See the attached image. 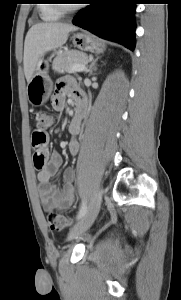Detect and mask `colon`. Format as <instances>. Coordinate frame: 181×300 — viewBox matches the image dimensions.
<instances>
[{"label": "colon", "instance_id": "colon-1", "mask_svg": "<svg viewBox=\"0 0 181 300\" xmlns=\"http://www.w3.org/2000/svg\"><path fill=\"white\" fill-rule=\"evenodd\" d=\"M33 119L35 128L32 133V148L36 167L40 168L45 161L44 148L48 142V136L44 130L53 125L55 116L48 111H37L34 113ZM47 222L50 229L54 231L63 230L71 224L68 217L54 211L47 214Z\"/></svg>", "mask_w": 181, "mask_h": 300}]
</instances>
